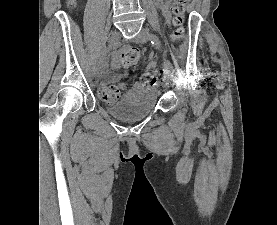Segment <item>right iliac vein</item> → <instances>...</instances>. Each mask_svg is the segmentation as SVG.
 Returning <instances> with one entry per match:
<instances>
[{
  "label": "right iliac vein",
  "instance_id": "obj_1",
  "mask_svg": "<svg viewBox=\"0 0 277 225\" xmlns=\"http://www.w3.org/2000/svg\"><path fill=\"white\" fill-rule=\"evenodd\" d=\"M120 33L118 31H114L111 33L110 37H109V41H108V44L109 46L112 48L114 47L120 40ZM99 68H96L95 70V80L96 82L99 80Z\"/></svg>",
  "mask_w": 277,
  "mask_h": 225
}]
</instances>
